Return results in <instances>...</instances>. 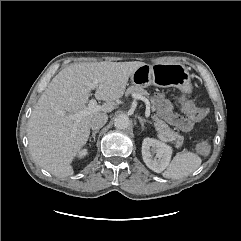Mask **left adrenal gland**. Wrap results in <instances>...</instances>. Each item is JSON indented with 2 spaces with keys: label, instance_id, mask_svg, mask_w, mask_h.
<instances>
[{
  "label": "left adrenal gland",
  "instance_id": "a2214340",
  "mask_svg": "<svg viewBox=\"0 0 241 241\" xmlns=\"http://www.w3.org/2000/svg\"><path fill=\"white\" fill-rule=\"evenodd\" d=\"M138 119H139V121H140V124H141V128H142V129H144V124H145V123H150L149 121H147L146 119H144V118H142V117H140V116H138Z\"/></svg>",
  "mask_w": 241,
  "mask_h": 241
}]
</instances>
